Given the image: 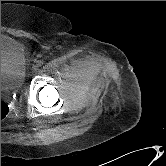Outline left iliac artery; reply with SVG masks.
I'll return each mask as SVG.
<instances>
[{"instance_id": "obj_1", "label": "left iliac artery", "mask_w": 166, "mask_h": 166, "mask_svg": "<svg viewBox=\"0 0 166 166\" xmlns=\"http://www.w3.org/2000/svg\"><path fill=\"white\" fill-rule=\"evenodd\" d=\"M38 66H42L44 64V61L43 60H40L37 62Z\"/></svg>"}]
</instances>
